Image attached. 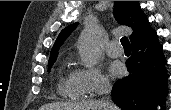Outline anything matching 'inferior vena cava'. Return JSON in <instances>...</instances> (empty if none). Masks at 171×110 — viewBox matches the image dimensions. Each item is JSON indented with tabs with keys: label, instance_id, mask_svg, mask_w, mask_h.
<instances>
[{
	"label": "inferior vena cava",
	"instance_id": "602c4592",
	"mask_svg": "<svg viewBox=\"0 0 171 110\" xmlns=\"http://www.w3.org/2000/svg\"><path fill=\"white\" fill-rule=\"evenodd\" d=\"M110 90H111L110 84L108 82H103L100 85L99 94L100 95H108ZM101 106L103 107L104 110H109L110 109V104L105 99L101 100Z\"/></svg>",
	"mask_w": 171,
	"mask_h": 110
}]
</instances>
